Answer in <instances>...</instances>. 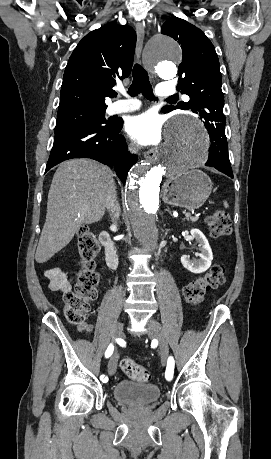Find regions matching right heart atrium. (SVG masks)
<instances>
[{"label": "right heart atrium", "mask_w": 271, "mask_h": 459, "mask_svg": "<svg viewBox=\"0 0 271 459\" xmlns=\"http://www.w3.org/2000/svg\"><path fill=\"white\" fill-rule=\"evenodd\" d=\"M124 148L128 154H134L136 152V148L128 141L124 142Z\"/></svg>", "instance_id": "right-heart-atrium-1"}]
</instances>
